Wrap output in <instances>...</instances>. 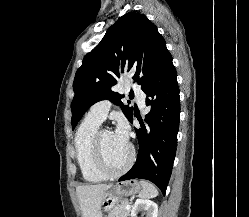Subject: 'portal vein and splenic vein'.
<instances>
[{"label": "portal vein and splenic vein", "mask_w": 249, "mask_h": 217, "mask_svg": "<svg viewBox=\"0 0 249 217\" xmlns=\"http://www.w3.org/2000/svg\"><path fill=\"white\" fill-rule=\"evenodd\" d=\"M130 208H131L130 204H127L125 207L126 210H130Z\"/></svg>", "instance_id": "obj_1"}]
</instances>
